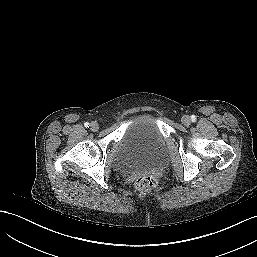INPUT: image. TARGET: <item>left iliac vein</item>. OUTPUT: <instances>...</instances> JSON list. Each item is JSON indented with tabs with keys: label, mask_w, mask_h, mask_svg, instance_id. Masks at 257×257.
I'll return each mask as SVG.
<instances>
[{
	"label": "left iliac vein",
	"mask_w": 257,
	"mask_h": 257,
	"mask_svg": "<svg viewBox=\"0 0 257 257\" xmlns=\"http://www.w3.org/2000/svg\"><path fill=\"white\" fill-rule=\"evenodd\" d=\"M181 122L184 124V125H189L191 123V118L188 116V115H184L182 118H181Z\"/></svg>",
	"instance_id": "left-iliac-vein-1"
}]
</instances>
